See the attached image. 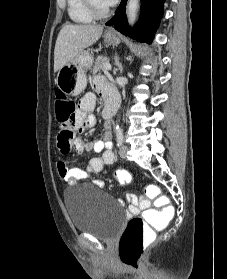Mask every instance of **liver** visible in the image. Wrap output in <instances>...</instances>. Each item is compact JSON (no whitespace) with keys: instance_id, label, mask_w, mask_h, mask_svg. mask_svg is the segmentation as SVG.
<instances>
[{"instance_id":"6515ba94","label":"liver","mask_w":227,"mask_h":279,"mask_svg":"<svg viewBox=\"0 0 227 279\" xmlns=\"http://www.w3.org/2000/svg\"><path fill=\"white\" fill-rule=\"evenodd\" d=\"M103 26L66 24L60 30L54 50V72L72 61L102 35Z\"/></svg>"}]
</instances>
